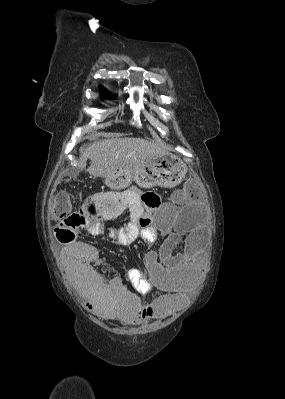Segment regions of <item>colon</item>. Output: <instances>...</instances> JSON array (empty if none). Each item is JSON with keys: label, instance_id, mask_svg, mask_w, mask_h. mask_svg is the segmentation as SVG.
Here are the masks:
<instances>
[{"label": "colon", "instance_id": "obj_1", "mask_svg": "<svg viewBox=\"0 0 285 399\" xmlns=\"http://www.w3.org/2000/svg\"><path fill=\"white\" fill-rule=\"evenodd\" d=\"M199 183L196 179H190L183 185V191L192 193L197 190ZM109 198H115L113 195L107 194ZM142 203L149 207L154 208L159 205V197L154 193L146 194L142 197ZM51 214L55 220H63L66 226L78 225L84 223V218L79 213L71 212V197L67 190L62 189L55 194L50 202ZM147 220L142 213H136V216L131 219L128 224L110 233L113 240L123 242L125 244H132L142 232L147 224ZM60 239L63 242L75 243L78 242V237L75 235L73 229L67 231H59ZM170 253L169 257H172Z\"/></svg>", "mask_w": 285, "mask_h": 399}]
</instances>
